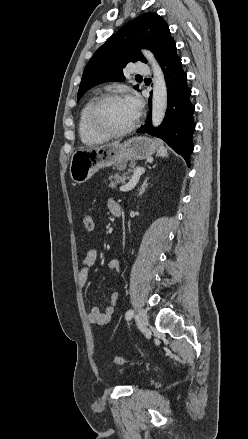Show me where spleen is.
<instances>
[{
	"instance_id": "3e777b00",
	"label": "spleen",
	"mask_w": 248,
	"mask_h": 439,
	"mask_svg": "<svg viewBox=\"0 0 248 439\" xmlns=\"http://www.w3.org/2000/svg\"><path fill=\"white\" fill-rule=\"evenodd\" d=\"M158 153H159V155L161 157H167L168 156L167 149L164 146L160 147Z\"/></svg>"
}]
</instances>
